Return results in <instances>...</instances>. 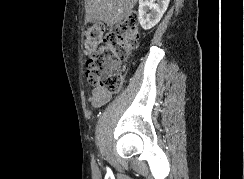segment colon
<instances>
[{"label":"colon","instance_id":"colon-1","mask_svg":"<svg viewBox=\"0 0 244 179\" xmlns=\"http://www.w3.org/2000/svg\"><path fill=\"white\" fill-rule=\"evenodd\" d=\"M140 42V27L133 18H127L110 27L104 24L90 26L84 33L83 51L86 55L85 73L91 86L100 93H117L121 76L119 64L125 62Z\"/></svg>","mask_w":244,"mask_h":179}]
</instances>
